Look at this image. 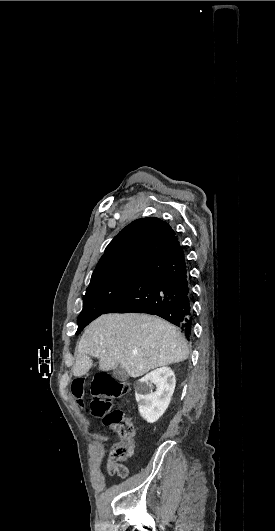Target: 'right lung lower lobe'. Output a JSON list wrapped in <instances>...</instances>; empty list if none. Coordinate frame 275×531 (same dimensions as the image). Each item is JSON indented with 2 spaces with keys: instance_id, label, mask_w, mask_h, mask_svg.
I'll return each mask as SVG.
<instances>
[{
  "instance_id": "obj_1",
  "label": "right lung lower lobe",
  "mask_w": 275,
  "mask_h": 531,
  "mask_svg": "<svg viewBox=\"0 0 275 531\" xmlns=\"http://www.w3.org/2000/svg\"><path fill=\"white\" fill-rule=\"evenodd\" d=\"M191 285L184 252L176 236L149 262L137 281L105 313H148L191 335ZM104 313V314H105Z\"/></svg>"
}]
</instances>
